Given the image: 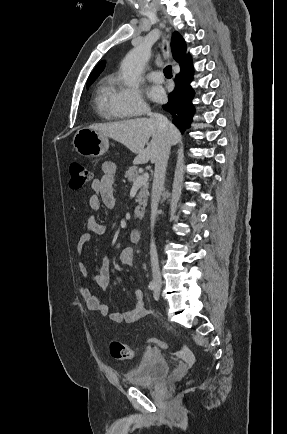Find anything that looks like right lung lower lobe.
<instances>
[{
    "instance_id": "98d812e1",
    "label": "right lung lower lobe",
    "mask_w": 287,
    "mask_h": 434,
    "mask_svg": "<svg viewBox=\"0 0 287 434\" xmlns=\"http://www.w3.org/2000/svg\"><path fill=\"white\" fill-rule=\"evenodd\" d=\"M180 67L181 71L175 79L176 86L169 94L168 103L162 107L172 114L173 123L183 132L190 128L195 111L192 104L194 90L190 85L194 74L191 58Z\"/></svg>"
}]
</instances>
